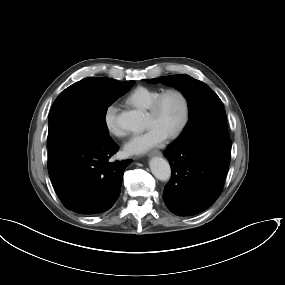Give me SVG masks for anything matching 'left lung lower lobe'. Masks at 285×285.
<instances>
[{
    "instance_id": "left-lung-lower-lobe-1",
    "label": "left lung lower lobe",
    "mask_w": 285,
    "mask_h": 285,
    "mask_svg": "<svg viewBox=\"0 0 285 285\" xmlns=\"http://www.w3.org/2000/svg\"><path fill=\"white\" fill-rule=\"evenodd\" d=\"M231 144L226 138L204 137L165 150L172 177L163 200L172 213L192 216L217 200L228 171Z\"/></svg>"
}]
</instances>
